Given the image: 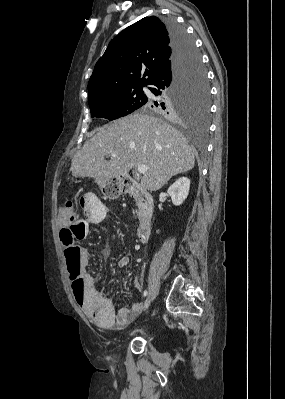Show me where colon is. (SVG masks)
<instances>
[{
	"label": "colon",
	"instance_id": "1",
	"mask_svg": "<svg viewBox=\"0 0 285 399\" xmlns=\"http://www.w3.org/2000/svg\"><path fill=\"white\" fill-rule=\"evenodd\" d=\"M105 195H109L108 190H104ZM83 204V203H82ZM82 205H74L68 201L62 204L59 210V220L64 223L61 227L59 235L63 246V252L70 263V282L71 288L76 293H82L84 290V282L79 272V249L76 245L77 241L81 238L79 234V208Z\"/></svg>",
	"mask_w": 285,
	"mask_h": 399
}]
</instances>
